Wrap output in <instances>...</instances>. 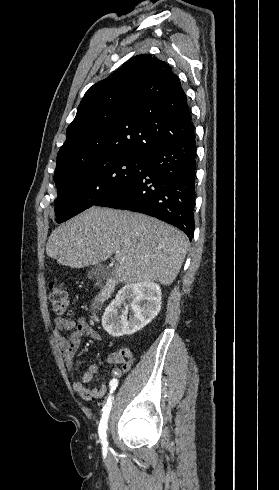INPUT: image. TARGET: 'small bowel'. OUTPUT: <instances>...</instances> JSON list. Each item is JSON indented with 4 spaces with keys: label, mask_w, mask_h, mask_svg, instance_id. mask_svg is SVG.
Here are the masks:
<instances>
[{
    "label": "small bowel",
    "mask_w": 279,
    "mask_h": 490,
    "mask_svg": "<svg viewBox=\"0 0 279 490\" xmlns=\"http://www.w3.org/2000/svg\"><path fill=\"white\" fill-rule=\"evenodd\" d=\"M66 332H71L69 337L65 336ZM52 335L63 355L66 367L70 371L76 369L73 357L82 338L87 337L93 341L101 340L100 333L82 316L76 319L55 318L52 323ZM108 362L118 366L109 372L105 384L92 388L87 386L98 372L96 364L91 365L81 378L73 382V389L79 397L85 400L100 399L109 388H116L122 375L131 369L133 354L127 348H119L109 355Z\"/></svg>",
    "instance_id": "obj_1"
}]
</instances>
